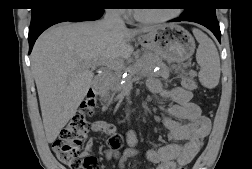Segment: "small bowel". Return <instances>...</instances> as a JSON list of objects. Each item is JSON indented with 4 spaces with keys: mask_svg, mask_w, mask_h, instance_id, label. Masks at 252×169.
I'll list each match as a JSON object with an SVG mask.
<instances>
[{
    "mask_svg": "<svg viewBox=\"0 0 252 169\" xmlns=\"http://www.w3.org/2000/svg\"><path fill=\"white\" fill-rule=\"evenodd\" d=\"M148 89L152 95L173 102L166 109L162 123L169 130L174 142L148 150L145 154L146 159L155 164L156 169H179L180 165L192 161L199 152L201 142L210 132V121L201 114L199 106L192 102L191 91L180 87L165 90L155 79L148 82ZM108 124L106 121H95L90 128L93 132L104 135V128ZM178 141H184V144H179ZM126 142L129 147L123 153H120L117 147H112L106 152L108 159H119L121 168L124 167V162L128 158L138 154L137 139L133 131L127 132ZM93 148L94 139L90 138L85 146V154L92 156Z\"/></svg>",
    "mask_w": 252,
    "mask_h": 169,
    "instance_id": "small-bowel-1",
    "label": "small bowel"
}]
</instances>
